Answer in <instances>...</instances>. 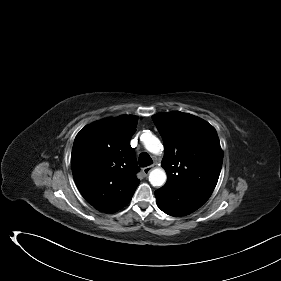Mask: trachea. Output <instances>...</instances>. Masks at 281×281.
<instances>
[{
    "instance_id": "3493384b",
    "label": "trachea",
    "mask_w": 281,
    "mask_h": 281,
    "mask_svg": "<svg viewBox=\"0 0 281 281\" xmlns=\"http://www.w3.org/2000/svg\"><path fill=\"white\" fill-rule=\"evenodd\" d=\"M152 164V159L148 153L143 152L139 156V166L146 167Z\"/></svg>"
}]
</instances>
